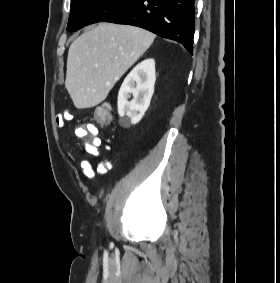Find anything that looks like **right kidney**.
I'll return each mask as SVG.
<instances>
[{
  "label": "right kidney",
  "mask_w": 280,
  "mask_h": 283,
  "mask_svg": "<svg viewBox=\"0 0 280 283\" xmlns=\"http://www.w3.org/2000/svg\"><path fill=\"white\" fill-rule=\"evenodd\" d=\"M156 80L155 61L146 59L127 75L118 93L119 123L130 127L138 123L150 105ZM133 96L131 101L128 98Z\"/></svg>",
  "instance_id": "obj_1"
}]
</instances>
